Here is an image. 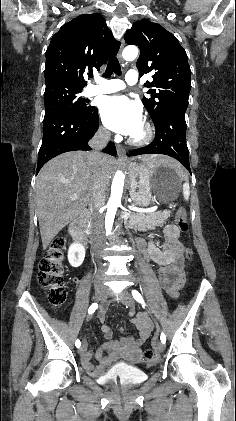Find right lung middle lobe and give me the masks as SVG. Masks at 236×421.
<instances>
[{"mask_svg":"<svg viewBox=\"0 0 236 421\" xmlns=\"http://www.w3.org/2000/svg\"><path fill=\"white\" fill-rule=\"evenodd\" d=\"M82 89L64 88L59 86H46L44 93L45 117L58 112L71 114H85L91 109L88 101L79 94Z\"/></svg>","mask_w":236,"mask_h":421,"instance_id":"1","label":"right lung middle lobe"}]
</instances>
